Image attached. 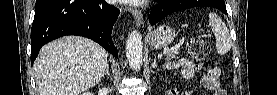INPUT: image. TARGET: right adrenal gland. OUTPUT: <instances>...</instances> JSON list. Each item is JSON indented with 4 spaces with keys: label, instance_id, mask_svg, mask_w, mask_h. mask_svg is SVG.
<instances>
[{
    "label": "right adrenal gland",
    "instance_id": "1",
    "mask_svg": "<svg viewBox=\"0 0 277 95\" xmlns=\"http://www.w3.org/2000/svg\"><path fill=\"white\" fill-rule=\"evenodd\" d=\"M105 75L110 76L109 65H107L106 70H105L104 74L102 75V78H104Z\"/></svg>",
    "mask_w": 277,
    "mask_h": 95
}]
</instances>
